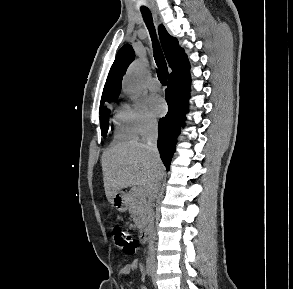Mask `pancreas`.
Listing matches in <instances>:
<instances>
[{
	"label": "pancreas",
	"instance_id": "cf45deb5",
	"mask_svg": "<svg viewBox=\"0 0 293 289\" xmlns=\"http://www.w3.org/2000/svg\"><path fill=\"white\" fill-rule=\"evenodd\" d=\"M129 212L137 228H142L146 222L147 201L144 193H137L132 190L127 195Z\"/></svg>",
	"mask_w": 293,
	"mask_h": 289
}]
</instances>
